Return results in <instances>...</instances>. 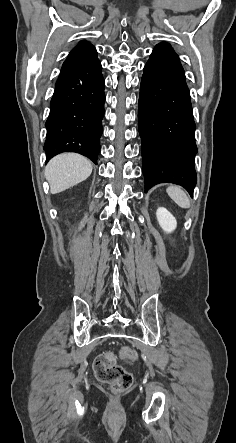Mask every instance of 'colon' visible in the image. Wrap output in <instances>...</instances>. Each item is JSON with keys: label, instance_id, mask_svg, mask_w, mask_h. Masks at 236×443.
Returning <instances> with one entry per match:
<instances>
[{"label": "colon", "instance_id": "obj_1", "mask_svg": "<svg viewBox=\"0 0 236 443\" xmlns=\"http://www.w3.org/2000/svg\"><path fill=\"white\" fill-rule=\"evenodd\" d=\"M120 357L124 361L134 362L137 359V352L134 348L125 346L120 351ZM93 368L96 377L101 382L109 384L116 392L126 391L132 385V375L116 364L115 356L111 353L98 356Z\"/></svg>", "mask_w": 236, "mask_h": 443}]
</instances>
